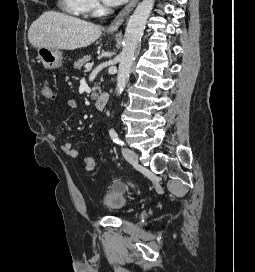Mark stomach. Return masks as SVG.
Masks as SVG:
<instances>
[{"mask_svg":"<svg viewBox=\"0 0 255 272\" xmlns=\"http://www.w3.org/2000/svg\"><path fill=\"white\" fill-rule=\"evenodd\" d=\"M38 58L47 69H56L62 65V53L59 49L38 48Z\"/></svg>","mask_w":255,"mask_h":272,"instance_id":"1","label":"stomach"}]
</instances>
